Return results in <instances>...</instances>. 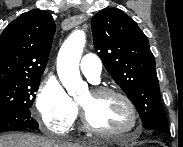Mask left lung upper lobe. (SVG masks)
Wrapping results in <instances>:
<instances>
[{
	"instance_id": "5c2ea615",
	"label": "left lung upper lobe",
	"mask_w": 183,
	"mask_h": 147,
	"mask_svg": "<svg viewBox=\"0 0 183 147\" xmlns=\"http://www.w3.org/2000/svg\"><path fill=\"white\" fill-rule=\"evenodd\" d=\"M96 51L106 70L135 105L147 130L170 133L160 100L148 38L123 11H101L91 20Z\"/></svg>"
}]
</instances>
